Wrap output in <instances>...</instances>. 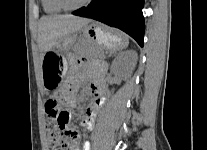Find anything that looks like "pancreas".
<instances>
[{
  "instance_id": "obj_1",
  "label": "pancreas",
  "mask_w": 207,
  "mask_h": 150,
  "mask_svg": "<svg viewBox=\"0 0 207 150\" xmlns=\"http://www.w3.org/2000/svg\"><path fill=\"white\" fill-rule=\"evenodd\" d=\"M102 58H103V53H102V57H101V59H99V60H102Z\"/></svg>"
}]
</instances>
